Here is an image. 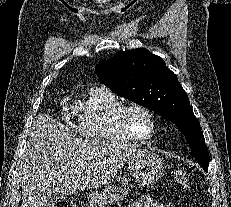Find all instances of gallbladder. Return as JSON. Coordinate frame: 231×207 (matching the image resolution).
I'll return each mask as SVG.
<instances>
[{"mask_svg":"<svg viewBox=\"0 0 231 207\" xmlns=\"http://www.w3.org/2000/svg\"><path fill=\"white\" fill-rule=\"evenodd\" d=\"M61 196L58 193H52L50 195L47 196V200H46V206H50V205H55L56 203L60 202Z\"/></svg>","mask_w":231,"mask_h":207,"instance_id":"gallbladder-1","label":"gallbladder"}]
</instances>
